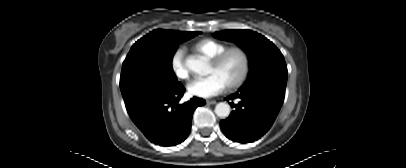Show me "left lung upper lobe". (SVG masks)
Here are the masks:
<instances>
[{"mask_svg": "<svg viewBox=\"0 0 406 168\" xmlns=\"http://www.w3.org/2000/svg\"><path fill=\"white\" fill-rule=\"evenodd\" d=\"M215 37L238 44L248 55L250 72L240 89L272 85L286 87L288 71L282 53L267 38L251 30H225Z\"/></svg>", "mask_w": 406, "mask_h": 168, "instance_id": "1", "label": "left lung upper lobe"}]
</instances>
